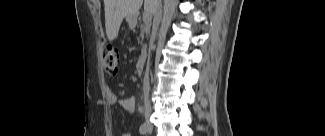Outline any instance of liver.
Segmentation results:
<instances>
[{
    "instance_id": "obj_1",
    "label": "liver",
    "mask_w": 325,
    "mask_h": 136,
    "mask_svg": "<svg viewBox=\"0 0 325 136\" xmlns=\"http://www.w3.org/2000/svg\"><path fill=\"white\" fill-rule=\"evenodd\" d=\"M151 0H145V10L152 13ZM143 0H104L105 28L109 41L117 38L120 25L124 17L137 18Z\"/></svg>"
}]
</instances>
